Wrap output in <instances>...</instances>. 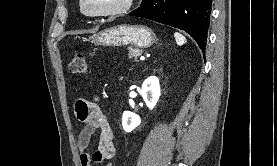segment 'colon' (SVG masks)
<instances>
[{"label": "colon", "instance_id": "5ec220e1", "mask_svg": "<svg viewBox=\"0 0 277 166\" xmlns=\"http://www.w3.org/2000/svg\"><path fill=\"white\" fill-rule=\"evenodd\" d=\"M69 69L74 74H85L88 70L86 56L81 53L75 55L69 64Z\"/></svg>", "mask_w": 277, "mask_h": 166}]
</instances>
